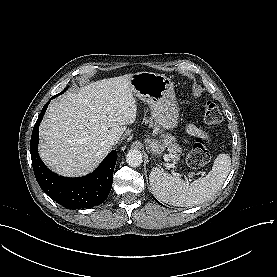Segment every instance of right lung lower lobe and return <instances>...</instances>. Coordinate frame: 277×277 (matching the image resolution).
<instances>
[{"label":"right lung lower lobe","instance_id":"1","mask_svg":"<svg viewBox=\"0 0 277 277\" xmlns=\"http://www.w3.org/2000/svg\"><path fill=\"white\" fill-rule=\"evenodd\" d=\"M49 103L44 105L31 136L30 151L36 180L49 197L67 209H88L100 205L112 187L116 151H112L93 173L84 177L67 178L50 171L38 154L39 125Z\"/></svg>","mask_w":277,"mask_h":277}]
</instances>
